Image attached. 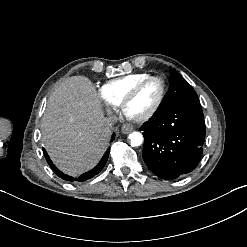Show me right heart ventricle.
Masks as SVG:
<instances>
[{"mask_svg": "<svg viewBox=\"0 0 247 247\" xmlns=\"http://www.w3.org/2000/svg\"><path fill=\"white\" fill-rule=\"evenodd\" d=\"M147 76H150V74H132L107 82L103 87L104 98L112 104H120L121 100L131 90V88Z\"/></svg>", "mask_w": 247, "mask_h": 247, "instance_id": "obj_1", "label": "right heart ventricle"}]
</instances>
